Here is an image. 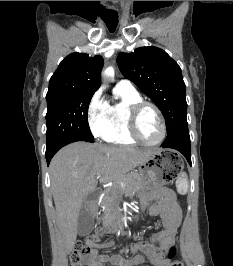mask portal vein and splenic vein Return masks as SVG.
<instances>
[{"instance_id":"obj_1","label":"portal vein and splenic vein","mask_w":233,"mask_h":266,"mask_svg":"<svg viewBox=\"0 0 233 266\" xmlns=\"http://www.w3.org/2000/svg\"><path fill=\"white\" fill-rule=\"evenodd\" d=\"M101 175L100 174H97V177H100ZM125 184L124 183H121V187H124Z\"/></svg>"}]
</instances>
